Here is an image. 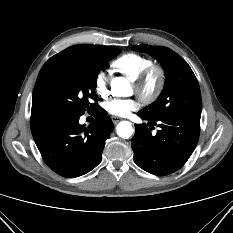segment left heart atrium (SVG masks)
Instances as JSON below:
<instances>
[{
	"label": "left heart atrium",
	"instance_id": "left-heart-atrium-1",
	"mask_svg": "<svg viewBox=\"0 0 233 233\" xmlns=\"http://www.w3.org/2000/svg\"><path fill=\"white\" fill-rule=\"evenodd\" d=\"M139 101L135 98L111 99L104 103L105 110L114 116H126L130 111L139 108Z\"/></svg>",
	"mask_w": 233,
	"mask_h": 233
}]
</instances>
